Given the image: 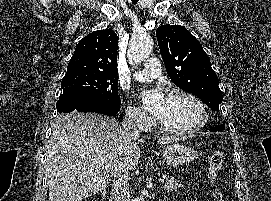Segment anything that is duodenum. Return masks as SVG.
<instances>
[{
    "mask_svg": "<svg viewBox=\"0 0 271 201\" xmlns=\"http://www.w3.org/2000/svg\"><path fill=\"white\" fill-rule=\"evenodd\" d=\"M105 199H106V193L103 192V193L101 194V200H102V201H105Z\"/></svg>",
    "mask_w": 271,
    "mask_h": 201,
    "instance_id": "410a0bca",
    "label": "duodenum"
}]
</instances>
